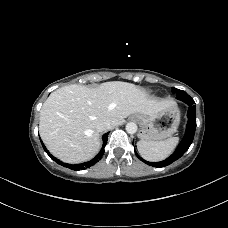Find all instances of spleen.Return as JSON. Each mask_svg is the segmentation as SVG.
I'll return each mask as SVG.
<instances>
[{
    "label": "spleen",
    "mask_w": 228,
    "mask_h": 228,
    "mask_svg": "<svg viewBox=\"0 0 228 228\" xmlns=\"http://www.w3.org/2000/svg\"><path fill=\"white\" fill-rule=\"evenodd\" d=\"M178 141V137H172L163 141L140 140L137 143V149L144 159L148 161H161L173 152Z\"/></svg>",
    "instance_id": "obj_1"
}]
</instances>
